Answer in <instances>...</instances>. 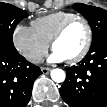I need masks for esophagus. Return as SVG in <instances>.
I'll list each match as a JSON object with an SVG mask.
<instances>
[{"label":"esophagus","mask_w":107,"mask_h":107,"mask_svg":"<svg viewBox=\"0 0 107 107\" xmlns=\"http://www.w3.org/2000/svg\"><path fill=\"white\" fill-rule=\"evenodd\" d=\"M41 71H42L43 74H48L51 71V68L42 67Z\"/></svg>","instance_id":"1"}]
</instances>
